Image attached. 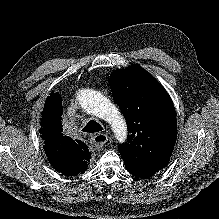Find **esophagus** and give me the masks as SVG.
Masks as SVG:
<instances>
[{
	"label": "esophagus",
	"mask_w": 219,
	"mask_h": 219,
	"mask_svg": "<svg viewBox=\"0 0 219 219\" xmlns=\"http://www.w3.org/2000/svg\"><path fill=\"white\" fill-rule=\"evenodd\" d=\"M108 141V136L103 133H98L93 136L92 138V144L96 148H101L105 145V143Z\"/></svg>",
	"instance_id": "1"
}]
</instances>
